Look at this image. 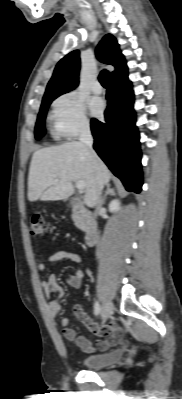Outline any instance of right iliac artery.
<instances>
[{"label":"right iliac artery","mask_w":182,"mask_h":399,"mask_svg":"<svg viewBox=\"0 0 182 399\" xmlns=\"http://www.w3.org/2000/svg\"><path fill=\"white\" fill-rule=\"evenodd\" d=\"M100 312H101V306H100V304L98 302H95V304H94V314L96 316H98L100 314Z\"/></svg>","instance_id":"obj_1"}]
</instances>
